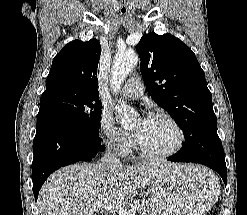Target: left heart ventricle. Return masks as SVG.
<instances>
[{
    "instance_id": "left-heart-ventricle-1",
    "label": "left heart ventricle",
    "mask_w": 247,
    "mask_h": 215,
    "mask_svg": "<svg viewBox=\"0 0 247 215\" xmlns=\"http://www.w3.org/2000/svg\"><path fill=\"white\" fill-rule=\"evenodd\" d=\"M140 143L150 152H165L174 147L178 135L173 126L165 120L151 118L145 127L137 122L133 128Z\"/></svg>"
}]
</instances>
